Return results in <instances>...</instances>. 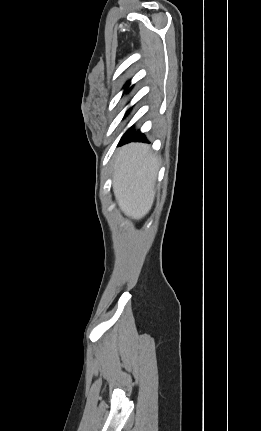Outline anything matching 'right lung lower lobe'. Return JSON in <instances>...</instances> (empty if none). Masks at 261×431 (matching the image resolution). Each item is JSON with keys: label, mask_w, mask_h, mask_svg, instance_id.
I'll return each mask as SVG.
<instances>
[{"label": "right lung lower lobe", "mask_w": 261, "mask_h": 431, "mask_svg": "<svg viewBox=\"0 0 261 431\" xmlns=\"http://www.w3.org/2000/svg\"><path fill=\"white\" fill-rule=\"evenodd\" d=\"M129 112V111H128ZM127 112V113H128ZM130 141H146V138L139 131L133 132L132 128L128 129V131L123 135L119 144H123Z\"/></svg>", "instance_id": "1"}]
</instances>
